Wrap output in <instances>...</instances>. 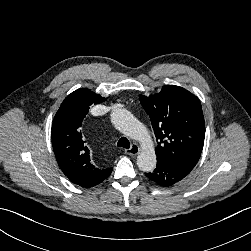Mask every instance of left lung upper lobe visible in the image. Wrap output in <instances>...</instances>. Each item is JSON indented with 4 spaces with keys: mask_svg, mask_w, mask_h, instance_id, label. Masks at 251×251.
<instances>
[{
    "mask_svg": "<svg viewBox=\"0 0 251 251\" xmlns=\"http://www.w3.org/2000/svg\"><path fill=\"white\" fill-rule=\"evenodd\" d=\"M139 99L158 141L157 161L191 171L200 158L205 137L199 99L175 85H165L160 93L149 97L139 95Z\"/></svg>",
    "mask_w": 251,
    "mask_h": 251,
    "instance_id": "obj_1",
    "label": "left lung upper lobe"
}]
</instances>
